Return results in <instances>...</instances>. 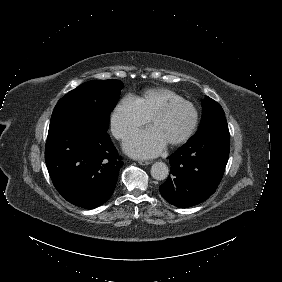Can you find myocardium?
Segmentation results:
<instances>
[{"label": "myocardium", "instance_id": "f54148a6", "mask_svg": "<svg viewBox=\"0 0 282 282\" xmlns=\"http://www.w3.org/2000/svg\"><path fill=\"white\" fill-rule=\"evenodd\" d=\"M176 108H185L189 111L191 119L190 123L186 129V131L177 139L168 142L170 146H178L186 141L189 140V138L192 136L194 133L197 124H198V111L194 107V105L188 101L185 100H172L165 108L161 110L155 111L149 118V123L153 124V122L157 119L160 118L166 114H168L170 111L176 109Z\"/></svg>", "mask_w": 282, "mask_h": 282}]
</instances>
